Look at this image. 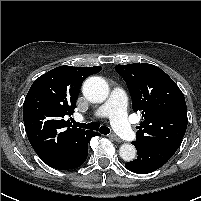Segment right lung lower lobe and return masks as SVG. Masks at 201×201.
<instances>
[{
    "label": "right lung lower lobe",
    "mask_w": 201,
    "mask_h": 201,
    "mask_svg": "<svg viewBox=\"0 0 201 201\" xmlns=\"http://www.w3.org/2000/svg\"><path fill=\"white\" fill-rule=\"evenodd\" d=\"M99 134L96 132L89 131L82 142L80 143L78 149L74 153L73 156H71L68 160L65 162L54 164L51 167L55 169L60 170H69L80 167L86 160L88 155V142L93 136H98Z\"/></svg>",
    "instance_id": "obj_1"
}]
</instances>
